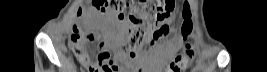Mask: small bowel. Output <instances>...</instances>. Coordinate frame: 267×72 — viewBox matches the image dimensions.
<instances>
[{
    "mask_svg": "<svg viewBox=\"0 0 267 72\" xmlns=\"http://www.w3.org/2000/svg\"><path fill=\"white\" fill-rule=\"evenodd\" d=\"M176 21V18L174 15H172L168 20V25H173ZM104 24L109 27H114L115 23L112 19L107 18L104 21ZM183 34L178 36L177 39L170 41L167 43L166 47H162L161 45H154L149 50L137 52L135 54H130L127 56L124 52H118V56L129 62V66L131 68V71L134 72H170V67L174 61V56L178 49L181 46L182 41L184 40ZM124 38L120 34H117L114 39L115 45L123 44ZM69 45L73 52L75 53L78 60H80L79 54H77L75 47L73 43L69 42ZM84 67L89 71H91V68L88 66Z\"/></svg>",
    "mask_w": 267,
    "mask_h": 72,
    "instance_id": "c3829d8e",
    "label": "small bowel"
}]
</instances>
